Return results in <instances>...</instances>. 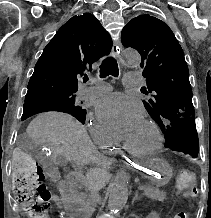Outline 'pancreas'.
<instances>
[{"instance_id":"cf45deb5","label":"pancreas","mask_w":211,"mask_h":218,"mask_svg":"<svg viewBox=\"0 0 211 218\" xmlns=\"http://www.w3.org/2000/svg\"><path fill=\"white\" fill-rule=\"evenodd\" d=\"M145 196L151 198V200H159V202H163L166 198V192H160V190H156L153 186H143ZM71 199L68 201L69 205H82V195L80 190H71Z\"/></svg>"}]
</instances>
